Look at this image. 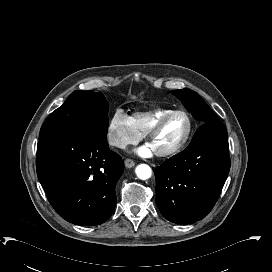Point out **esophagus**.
I'll return each mask as SVG.
<instances>
[{
	"label": "esophagus",
	"instance_id": "obj_1",
	"mask_svg": "<svg viewBox=\"0 0 272 272\" xmlns=\"http://www.w3.org/2000/svg\"><path fill=\"white\" fill-rule=\"evenodd\" d=\"M124 163L127 168H132L135 166V162L131 159H126Z\"/></svg>",
	"mask_w": 272,
	"mask_h": 272
}]
</instances>
